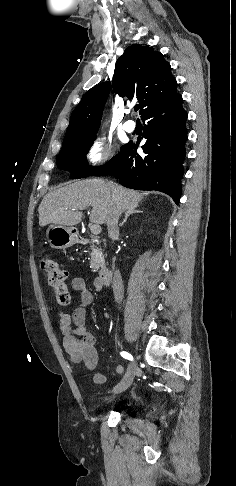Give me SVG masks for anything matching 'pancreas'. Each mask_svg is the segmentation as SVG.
<instances>
[{"instance_id": "obj_1", "label": "pancreas", "mask_w": 236, "mask_h": 486, "mask_svg": "<svg viewBox=\"0 0 236 486\" xmlns=\"http://www.w3.org/2000/svg\"><path fill=\"white\" fill-rule=\"evenodd\" d=\"M90 256V268L93 272H96L99 268L103 269L105 267L104 255L101 248H92Z\"/></svg>"}]
</instances>
